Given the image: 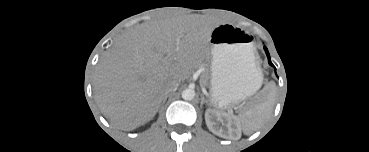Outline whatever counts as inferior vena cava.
Masks as SVG:
<instances>
[{"mask_svg":"<svg viewBox=\"0 0 369 152\" xmlns=\"http://www.w3.org/2000/svg\"><path fill=\"white\" fill-rule=\"evenodd\" d=\"M179 86L178 81L170 80L165 84L164 93L168 94L170 92L176 91Z\"/></svg>","mask_w":369,"mask_h":152,"instance_id":"1","label":"inferior vena cava"}]
</instances>
